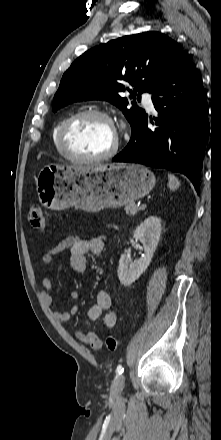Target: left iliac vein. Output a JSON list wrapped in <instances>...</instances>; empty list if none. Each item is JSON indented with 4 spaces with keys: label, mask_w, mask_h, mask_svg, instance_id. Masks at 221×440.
Listing matches in <instances>:
<instances>
[{
    "label": "left iliac vein",
    "mask_w": 221,
    "mask_h": 440,
    "mask_svg": "<svg viewBox=\"0 0 221 440\" xmlns=\"http://www.w3.org/2000/svg\"><path fill=\"white\" fill-rule=\"evenodd\" d=\"M124 385H125V377L122 375L119 378V380L117 382V385L115 387L114 393H113L115 398H118L120 396V394H121V392H122V390L124 388Z\"/></svg>",
    "instance_id": "1"
}]
</instances>
